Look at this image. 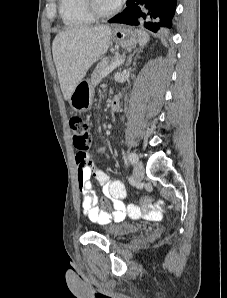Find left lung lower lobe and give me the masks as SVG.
Returning a JSON list of instances; mask_svg holds the SVG:
<instances>
[{
    "label": "left lung lower lobe",
    "mask_w": 227,
    "mask_h": 298,
    "mask_svg": "<svg viewBox=\"0 0 227 298\" xmlns=\"http://www.w3.org/2000/svg\"><path fill=\"white\" fill-rule=\"evenodd\" d=\"M177 0H127L122 13L109 20L110 23L143 25L157 32L171 27Z\"/></svg>",
    "instance_id": "0a47b994"
}]
</instances>
